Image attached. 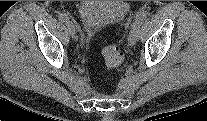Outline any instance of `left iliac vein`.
<instances>
[{"label":"left iliac vein","instance_id":"left-iliac-vein-1","mask_svg":"<svg viewBox=\"0 0 207 121\" xmlns=\"http://www.w3.org/2000/svg\"><path fill=\"white\" fill-rule=\"evenodd\" d=\"M139 36H140V26H136L135 28H132L128 37V45L129 46L135 45L137 40L139 39Z\"/></svg>","mask_w":207,"mask_h":121}]
</instances>
